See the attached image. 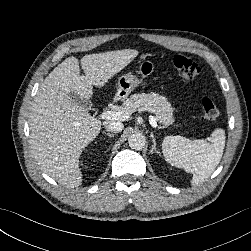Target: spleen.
<instances>
[{
    "label": "spleen",
    "mask_w": 251,
    "mask_h": 251,
    "mask_svg": "<svg viewBox=\"0 0 251 251\" xmlns=\"http://www.w3.org/2000/svg\"><path fill=\"white\" fill-rule=\"evenodd\" d=\"M225 147V132L216 129L206 140H189L182 136H167L162 143L165 160L172 166L192 173V185L208 178L219 164Z\"/></svg>",
    "instance_id": "obj_1"
}]
</instances>
